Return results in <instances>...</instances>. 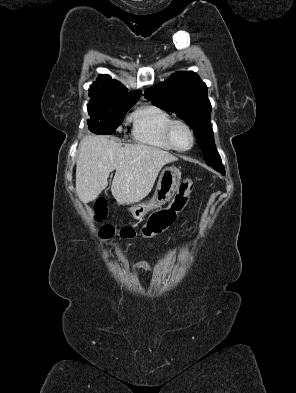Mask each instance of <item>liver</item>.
Returning a JSON list of instances; mask_svg holds the SVG:
<instances>
[{"mask_svg":"<svg viewBox=\"0 0 296 393\" xmlns=\"http://www.w3.org/2000/svg\"><path fill=\"white\" fill-rule=\"evenodd\" d=\"M178 158L167 151L143 144H121L102 135H89L79 145L76 192L90 202L107 187L116 170L111 192L119 204H132L152 190L162 167Z\"/></svg>","mask_w":296,"mask_h":393,"instance_id":"obj_1","label":"liver"}]
</instances>
